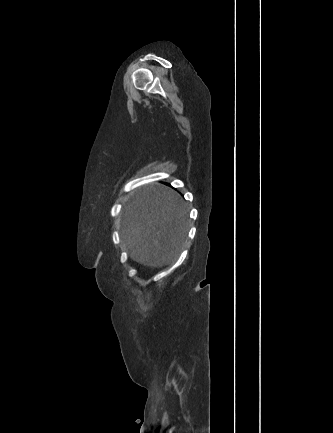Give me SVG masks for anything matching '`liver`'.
I'll use <instances>...</instances> for the list:
<instances>
[{
  "label": "liver",
  "mask_w": 333,
  "mask_h": 433,
  "mask_svg": "<svg viewBox=\"0 0 333 433\" xmlns=\"http://www.w3.org/2000/svg\"><path fill=\"white\" fill-rule=\"evenodd\" d=\"M188 231L187 212L180 196L160 184L136 191L124 206L120 235L134 261L150 267L173 263Z\"/></svg>",
  "instance_id": "6515ba94"
}]
</instances>
